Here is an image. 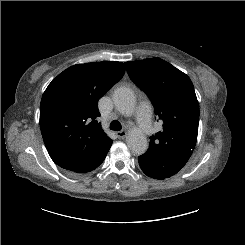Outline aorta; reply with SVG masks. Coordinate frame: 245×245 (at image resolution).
Wrapping results in <instances>:
<instances>
[{
	"instance_id": "obj_1",
	"label": "aorta",
	"mask_w": 245,
	"mask_h": 245,
	"mask_svg": "<svg viewBox=\"0 0 245 245\" xmlns=\"http://www.w3.org/2000/svg\"><path fill=\"white\" fill-rule=\"evenodd\" d=\"M113 101L116 109L124 114L129 115L133 112L136 98L134 92L127 87H120L114 91ZM129 149L137 155L144 154L148 149L146 136L137 129H131L126 137Z\"/></svg>"
}]
</instances>
